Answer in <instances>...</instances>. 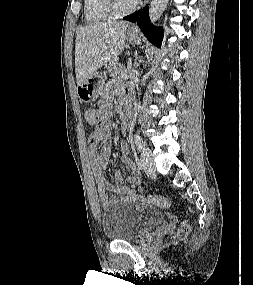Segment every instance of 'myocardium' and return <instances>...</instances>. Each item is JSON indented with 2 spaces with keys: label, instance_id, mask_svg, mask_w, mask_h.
Instances as JSON below:
<instances>
[{
  "label": "myocardium",
  "instance_id": "obj_1",
  "mask_svg": "<svg viewBox=\"0 0 253 285\" xmlns=\"http://www.w3.org/2000/svg\"><path fill=\"white\" fill-rule=\"evenodd\" d=\"M102 8L107 11L112 17L119 18L126 16L132 12H134L138 6L139 1H136L132 6L128 8H121L117 0H99Z\"/></svg>",
  "mask_w": 253,
  "mask_h": 285
}]
</instances>
